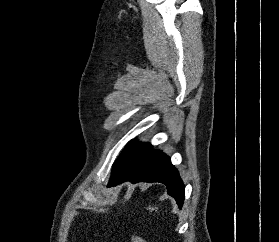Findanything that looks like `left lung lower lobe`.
<instances>
[{"label": "left lung lower lobe", "instance_id": "left-lung-lower-lobe-1", "mask_svg": "<svg viewBox=\"0 0 279 242\" xmlns=\"http://www.w3.org/2000/svg\"><path fill=\"white\" fill-rule=\"evenodd\" d=\"M125 181L137 182H160L166 185L167 193L171 195L182 207L184 202V185L178 171L171 164L170 158L158 150H151L129 170L110 186L118 185Z\"/></svg>", "mask_w": 279, "mask_h": 242}]
</instances>
